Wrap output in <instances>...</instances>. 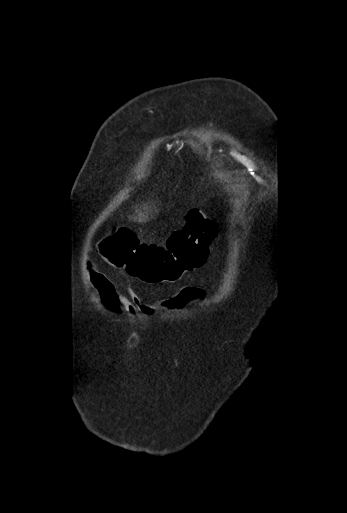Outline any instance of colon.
I'll list each match as a JSON object with an SVG mask.
<instances>
[{
	"label": "colon",
	"mask_w": 347,
	"mask_h": 513,
	"mask_svg": "<svg viewBox=\"0 0 347 513\" xmlns=\"http://www.w3.org/2000/svg\"><path fill=\"white\" fill-rule=\"evenodd\" d=\"M216 234L217 227L206 213L193 209L165 246L140 242L129 229L116 228L100 243V250L112 266L144 283L160 285L201 267Z\"/></svg>",
	"instance_id": "colon-1"
}]
</instances>
